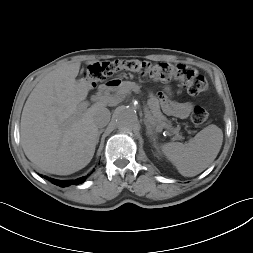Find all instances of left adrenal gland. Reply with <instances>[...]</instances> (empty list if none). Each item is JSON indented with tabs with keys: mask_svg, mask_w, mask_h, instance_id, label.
I'll return each instance as SVG.
<instances>
[{
	"mask_svg": "<svg viewBox=\"0 0 253 253\" xmlns=\"http://www.w3.org/2000/svg\"><path fill=\"white\" fill-rule=\"evenodd\" d=\"M144 124L146 125V129H147L146 133L148 135H153V126L151 122L148 119H144Z\"/></svg>",
	"mask_w": 253,
	"mask_h": 253,
	"instance_id": "obj_1",
	"label": "left adrenal gland"
}]
</instances>
